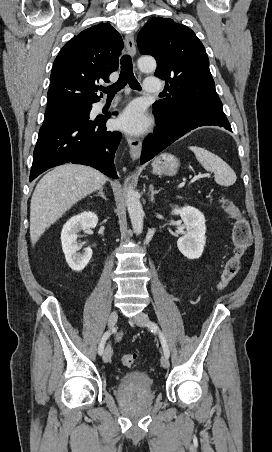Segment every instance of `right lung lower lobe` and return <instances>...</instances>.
I'll list each match as a JSON object with an SVG mask.
<instances>
[{
  "label": "right lung lower lobe",
  "instance_id": "obj_1",
  "mask_svg": "<svg viewBox=\"0 0 272 452\" xmlns=\"http://www.w3.org/2000/svg\"><path fill=\"white\" fill-rule=\"evenodd\" d=\"M108 118L90 120L89 114L45 116L29 180L64 163L89 165L117 179L114 155L122 134L106 129Z\"/></svg>",
  "mask_w": 272,
  "mask_h": 452
}]
</instances>
